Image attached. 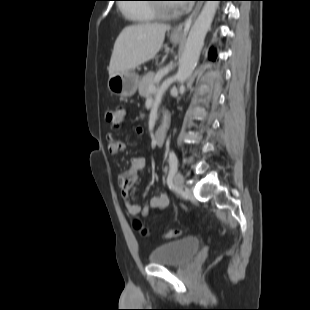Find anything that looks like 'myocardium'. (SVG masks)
I'll return each mask as SVG.
<instances>
[{
    "label": "myocardium",
    "instance_id": "1",
    "mask_svg": "<svg viewBox=\"0 0 310 310\" xmlns=\"http://www.w3.org/2000/svg\"><path fill=\"white\" fill-rule=\"evenodd\" d=\"M154 8L157 15L161 18H169L176 14L175 9L168 4H158Z\"/></svg>",
    "mask_w": 310,
    "mask_h": 310
}]
</instances>
